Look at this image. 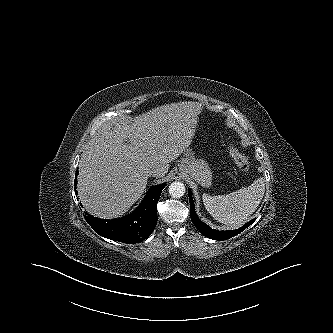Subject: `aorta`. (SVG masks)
Returning a JSON list of instances; mask_svg holds the SVG:
<instances>
[{
    "label": "aorta",
    "mask_w": 333,
    "mask_h": 333,
    "mask_svg": "<svg viewBox=\"0 0 333 333\" xmlns=\"http://www.w3.org/2000/svg\"><path fill=\"white\" fill-rule=\"evenodd\" d=\"M169 193L173 198H180L185 193V186L181 182H173L169 186Z\"/></svg>",
    "instance_id": "1"
}]
</instances>
